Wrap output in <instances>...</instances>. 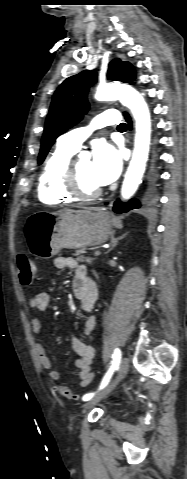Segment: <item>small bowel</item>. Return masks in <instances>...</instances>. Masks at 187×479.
Wrapping results in <instances>:
<instances>
[{"instance_id":"1","label":"small bowel","mask_w":187,"mask_h":479,"mask_svg":"<svg viewBox=\"0 0 187 479\" xmlns=\"http://www.w3.org/2000/svg\"><path fill=\"white\" fill-rule=\"evenodd\" d=\"M55 267L58 270L72 269L75 271L73 291L80 300L82 313L86 316L83 327L85 333L89 335L96 325V316L93 314L98 296L96 283L89 274L86 265L77 262L74 258L59 257L55 260ZM49 304L50 294L47 292L36 294L30 301L31 308L39 313H43L49 307ZM41 327V316L33 317L31 329L34 335L40 334ZM34 350L41 366L47 371L48 378L54 382L58 381L60 378L59 372L53 367L51 361L46 356L43 344L38 339L34 341ZM70 351L79 355V358L75 360V366L79 370L78 385L82 388L87 387L94 379L91 365L96 355L95 347L90 341L85 342L72 335L70 338Z\"/></svg>"}]
</instances>
